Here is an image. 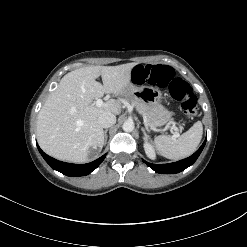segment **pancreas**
<instances>
[{
    "instance_id": "1",
    "label": "pancreas",
    "mask_w": 247,
    "mask_h": 247,
    "mask_svg": "<svg viewBox=\"0 0 247 247\" xmlns=\"http://www.w3.org/2000/svg\"><path fill=\"white\" fill-rule=\"evenodd\" d=\"M132 106L143 116L144 122L152 127H159L166 124L172 113L164 109L161 105H148L139 99L127 98Z\"/></svg>"
}]
</instances>
